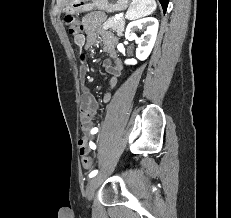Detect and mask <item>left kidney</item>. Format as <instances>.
I'll list each match as a JSON object with an SVG mask.
<instances>
[{
    "mask_svg": "<svg viewBox=\"0 0 231 218\" xmlns=\"http://www.w3.org/2000/svg\"><path fill=\"white\" fill-rule=\"evenodd\" d=\"M158 27V20L154 17L139 19L128 24L125 38L128 40H136L138 44V48L136 49L137 59L143 61L150 55L156 41ZM142 28H146L144 35L141 38H137L134 32ZM136 63L137 61L135 59H128L125 61L127 65H135Z\"/></svg>",
    "mask_w": 231,
    "mask_h": 218,
    "instance_id": "obj_1",
    "label": "left kidney"
}]
</instances>
